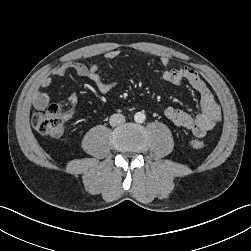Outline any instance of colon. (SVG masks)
I'll return each instance as SVG.
<instances>
[{"mask_svg":"<svg viewBox=\"0 0 251 251\" xmlns=\"http://www.w3.org/2000/svg\"><path fill=\"white\" fill-rule=\"evenodd\" d=\"M71 115L72 112L66 110L62 103H53L36 109L32 116V125L41 135L56 138L62 135L64 124ZM191 144L197 149L205 146L204 142L200 140H193Z\"/></svg>","mask_w":251,"mask_h":251,"instance_id":"5ec220e1","label":"colon"}]
</instances>
